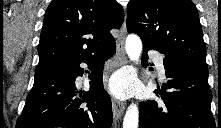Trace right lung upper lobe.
Wrapping results in <instances>:
<instances>
[{
  "label": "right lung upper lobe",
  "mask_w": 221,
  "mask_h": 128,
  "mask_svg": "<svg viewBox=\"0 0 221 128\" xmlns=\"http://www.w3.org/2000/svg\"><path fill=\"white\" fill-rule=\"evenodd\" d=\"M123 20V8L115 0H53L44 17L35 74L95 55L115 42L110 30L119 29Z\"/></svg>",
  "instance_id": "obj_1"
}]
</instances>
